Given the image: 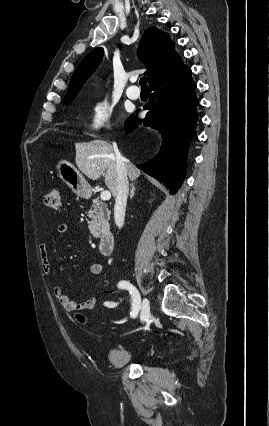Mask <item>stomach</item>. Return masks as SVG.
<instances>
[{"instance_id": "obj_1", "label": "stomach", "mask_w": 269, "mask_h": 426, "mask_svg": "<svg viewBox=\"0 0 269 426\" xmlns=\"http://www.w3.org/2000/svg\"><path fill=\"white\" fill-rule=\"evenodd\" d=\"M59 178L65 182L79 197H87L91 193V187L79 170L70 162L61 159L56 164Z\"/></svg>"}]
</instances>
